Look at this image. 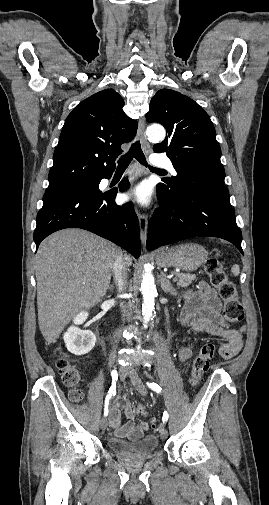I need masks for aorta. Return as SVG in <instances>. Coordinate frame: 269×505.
<instances>
[{
	"label": "aorta",
	"mask_w": 269,
	"mask_h": 505,
	"mask_svg": "<svg viewBox=\"0 0 269 505\" xmlns=\"http://www.w3.org/2000/svg\"><path fill=\"white\" fill-rule=\"evenodd\" d=\"M146 134L150 140L157 142L163 141L166 136L165 129L161 125L149 126L146 130ZM140 290L143 296V304H142L143 321L146 324L150 321V318L152 317L156 296L155 280L149 264L144 265Z\"/></svg>",
	"instance_id": "762f6f07"
}]
</instances>
